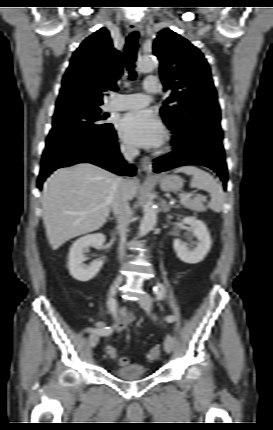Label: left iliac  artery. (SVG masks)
I'll list each match as a JSON object with an SVG mask.
<instances>
[{
	"label": "left iliac artery",
	"instance_id": "44dca946",
	"mask_svg": "<svg viewBox=\"0 0 273 430\" xmlns=\"http://www.w3.org/2000/svg\"><path fill=\"white\" fill-rule=\"evenodd\" d=\"M153 290H154V292H155L156 297H157V299H158V300L163 299V297H164V295H165V287H164V285H163V284H161V283H159V282H158V283L154 286ZM165 320H166L167 322H173V321L175 320V317H174V316H172V315H168V316H166V317H165Z\"/></svg>",
	"mask_w": 273,
	"mask_h": 430
}]
</instances>
